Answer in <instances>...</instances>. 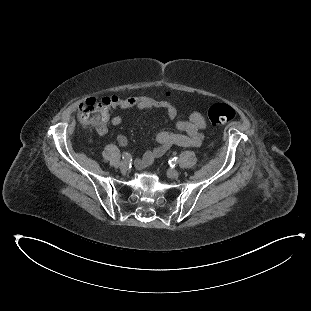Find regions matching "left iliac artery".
Here are the masks:
<instances>
[{"mask_svg":"<svg viewBox=\"0 0 311 311\" xmlns=\"http://www.w3.org/2000/svg\"><path fill=\"white\" fill-rule=\"evenodd\" d=\"M177 163H178V158H177V157H173V158H171V159L169 160V165H170L171 167H175V166L177 165Z\"/></svg>","mask_w":311,"mask_h":311,"instance_id":"left-iliac-artery-1","label":"left iliac artery"}]
</instances>
